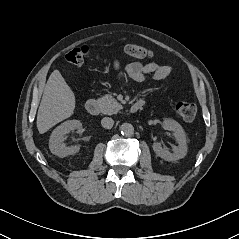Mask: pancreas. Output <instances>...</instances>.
I'll return each instance as SVG.
<instances>
[{"label": "pancreas", "mask_w": 239, "mask_h": 239, "mask_svg": "<svg viewBox=\"0 0 239 239\" xmlns=\"http://www.w3.org/2000/svg\"><path fill=\"white\" fill-rule=\"evenodd\" d=\"M99 102L101 104L102 113L107 115L115 114L122 108V105L109 94L101 97Z\"/></svg>", "instance_id": "obj_1"}]
</instances>
